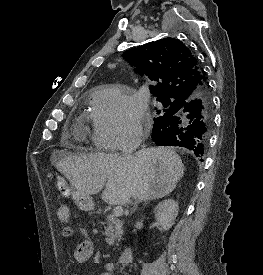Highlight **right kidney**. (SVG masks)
<instances>
[{"label":"right kidney","mask_w":263,"mask_h":275,"mask_svg":"<svg viewBox=\"0 0 263 275\" xmlns=\"http://www.w3.org/2000/svg\"><path fill=\"white\" fill-rule=\"evenodd\" d=\"M178 210V203L173 199H166L155 207L156 221L164 231L169 230L173 226Z\"/></svg>","instance_id":"ca27d5eb"}]
</instances>
